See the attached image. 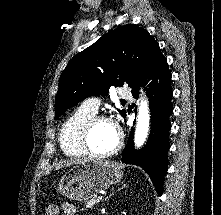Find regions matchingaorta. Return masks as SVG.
<instances>
[{
    "label": "aorta",
    "mask_w": 221,
    "mask_h": 215,
    "mask_svg": "<svg viewBox=\"0 0 221 215\" xmlns=\"http://www.w3.org/2000/svg\"><path fill=\"white\" fill-rule=\"evenodd\" d=\"M150 126V112L148 101L142 98L138 110L136 129L134 135V144L136 147H141L148 136Z\"/></svg>",
    "instance_id": "aorta-1"
}]
</instances>
